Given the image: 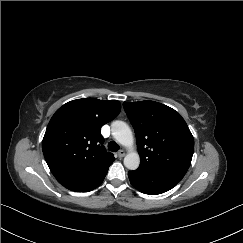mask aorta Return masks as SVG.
I'll return each mask as SVG.
<instances>
[{
	"label": "aorta",
	"instance_id": "1",
	"mask_svg": "<svg viewBox=\"0 0 243 243\" xmlns=\"http://www.w3.org/2000/svg\"><path fill=\"white\" fill-rule=\"evenodd\" d=\"M113 137L123 146L129 148L124 158V166L129 170H136L140 165L139 154L132 150L134 138L130 127L123 121H114L111 124Z\"/></svg>",
	"mask_w": 243,
	"mask_h": 243
}]
</instances>
